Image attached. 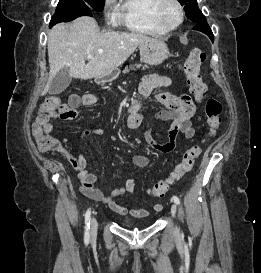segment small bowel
<instances>
[{
    "label": "small bowel",
    "mask_w": 261,
    "mask_h": 273,
    "mask_svg": "<svg viewBox=\"0 0 261 273\" xmlns=\"http://www.w3.org/2000/svg\"><path fill=\"white\" fill-rule=\"evenodd\" d=\"M173 83V80L169 77L149 74L142 79L140 94L143 98H148L153 94L156 88L171 86ZM154 97L164 107L156 113L155 120L169 122L168 138L165 142L157 141L151 127L147 130L145 139L149 147L154 151L168 153L175 149L180 134L187 140L194 138L195 129L192 127L190 120L196 112V105L192 98L185 94L176 96L169 92H158ZM81 102L84 106H92L96 103V97L92 94H85ZM59 118L58 112L51 113L48 117L46 128L52 131L53 125L49 121ZM127 124L130 128H135L131 125L129 117ZM92 134L102 135L103 131L97 128L86 129L82 132L81 136L86 137ZM59 152L77 171L80 190L85 196L107 204L114 212L120 215H124L128 212L127 208L117 203L116 198L134 191V179L128 178L123 187L113 189L110 195L106 196L94 186L98 177L87 169V160L83 153L74 155L64 146H60ZM129 161L139 168H145L150 164V159L142 155L132 156ZM154 210L161 211L162 206L157 204L154 206ZM130 213L136 217H145L149 214V211L145 209H132Z\"/></svg>",
    "instance_id": "1"
}]
</instances>
